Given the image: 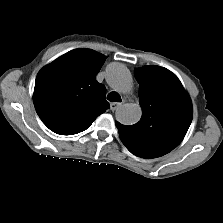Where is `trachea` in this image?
Here are the masks:
<instances>
[{"label": "trachea", "mask_w": 223, "mask_h": 223, "mask_svg": "<svg viewBox=\"0 0 223 223\" xmlns=\"http://www.w3.org/2000/svg\"><path fill=\"white\" fill-rule=\"evenodd\" d=\"M107 99L111 102H121V97L117 92H110L107 95Z\"/></svg>", "instance_id": "1"}]
</instances>
